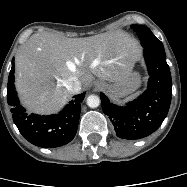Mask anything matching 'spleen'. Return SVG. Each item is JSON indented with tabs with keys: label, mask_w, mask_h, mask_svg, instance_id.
I'll use <instances>...</instances> for the list:
<instances>
[{
	"label": "spleen",
	"mask_w": 187,
	"mask_h": 187,
	"mask_svg": "<svg viewBox=\"0 0 187 187\" xmlns=\"http://www.w3.org/2000/svg\"><path fill=\"white\" fill-rule=\"evenodd\" d=\"M140 91L136 92L135 94L131 95L130 97H128L127 99H125L122 103H124L125 101L131 100L135 97H137L139 95Z\"/></svg>",
	"instance_id": "spleen-1"
}]
</instances>
